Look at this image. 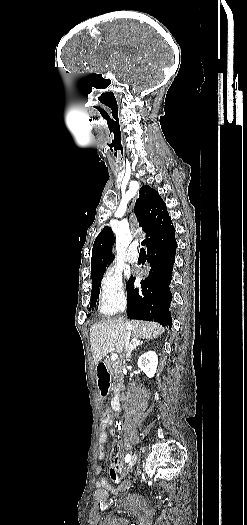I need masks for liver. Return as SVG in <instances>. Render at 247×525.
<instances>
[{
  "mask_svg": "<svg viewBox=\"0 0 247 525\" xmlns=\"http://www.w3.org/2000/svg\"><path fill=\"white\" fill-rule=\"evenodd\" d=\"M130 331L131 337L140 339H157L165 331V327L152 321H128L123 317L118 319H107L95 323L90 329L91 351L95 365L101 359L107 357L108 353H122L124 349V335Z\"/></svg>",
  "mask_w": 247,
  "mask_h": 525,
  "instance_id": "liver-1",
  "label": "liver"
}]
</instances>
